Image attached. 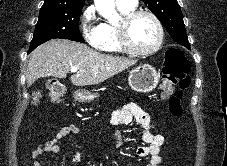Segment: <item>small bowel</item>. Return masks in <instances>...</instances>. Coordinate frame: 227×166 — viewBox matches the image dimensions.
Listing matches in <instances>:
<instances>
[{"label": "small bowel", "instance_id": "small-bowel-1", "mask_svg": "<svg viewBox=\"0 0 227 166\" xmlns=\"http://www.w3.org/2000/svg\"><path fill=\"white\" fill-rule=\"evenodd\" d=\"M132 120H136L142 127L141 139L145 143V146L137 149V155L139 157H149L148 166H160V149L165 140L162 135L154 132L155 126L153 115L136 103L123 104L117 107L111 115V121L113 124H127ZM79 132V128L75 125H67L60 128L53 138L39 144L31 152L30 157L33 160L32 166H41L39 158L44 153L58 154L60 151L59 143L66 137L76 135ZM114 136L116 139V145L120 146L121 140L116 133H114ZM80 160L81 154L75 152L72 156V163L77 164Z\"/></svg>", "mask_w": 227, "mask_h": 166}]
</instances>
